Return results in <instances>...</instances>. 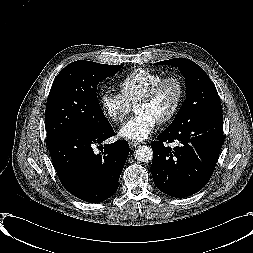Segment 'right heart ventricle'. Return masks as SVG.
I'll use <instances>...</instances> for the list:
<instances>
[{"label": "right heart ventricle", "instance_id": "right-heart-ventricle-1", "mask_svg": "<svg viewBox=\"0 0 253 253\" xmlns=\"http://www.w3.org/2000/svg\"><path fill=\"white\" fill-rule=\"evenodd\" d=\"M162 77H164L163 72L142 68L134 69L119 81L120 94L130 105H133L151 85Z\"/></svg>", "mask_w": 253, "mask_h": 253}]
</instances>
